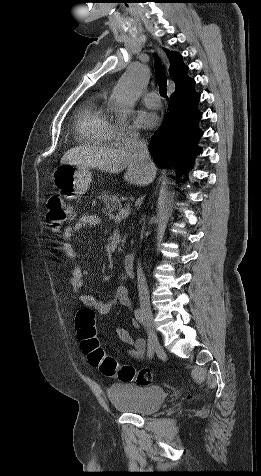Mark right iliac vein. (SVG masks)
I'll return each instance as SVG.
<instances>
[{
  "instance_id": "63e3f726",
  "label": "right iliac vein",
  "mask_w": 261,
  "mask_h": 476,
  "mask_svg": "<svg viewBox=\"0 0 261 476\" xmlns=\"http://www.w3.org/2000/svg\"><path fill=\"white\" fill-rule=\"evenodd\" d=\"M144 311V314H145V322L147 324V326L149 327V331H150V335L153 336L154 338V343H155V348L157 350L160 349V345H159V341H158V337H157V333L155 331V326H154V320H153V314L151 312L150 309L148 308H144L143 309Z\"/></svg>"
}]
</instances>
